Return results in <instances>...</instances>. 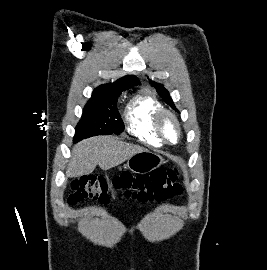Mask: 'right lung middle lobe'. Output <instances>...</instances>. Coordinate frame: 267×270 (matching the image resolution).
Returning a JSON list of instances; mask_svg holds the SVG:
<instances>
[{
  "label": "right lung middle lobe",
  "instance_id": "obj_1",
  "mask_svg": "<svg viewBox=\"0 0 267 270\" xmlns=\"http://www.w3.org/2000/svg\"><path fill=\"white\" fill-rule=\"evenodd\" d=\"M121 92L94 91L75 129L74 142L95 135L121 133L124 123L117 110Z\"/></svg>",
  "mask_w": 267,
  "mask_h": 270
}]
</instances>
